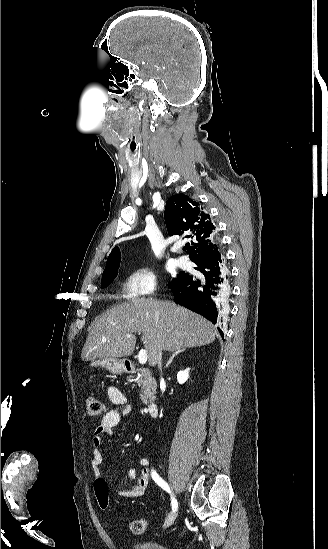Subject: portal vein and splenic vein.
Returning <instances> with one entry per match:
<instances>
[{
    "label": "portal vein and splenic vein",
    "instance_id": "1",
    "mask_svg": "<svg viewBox=\"0 0 328 549\" xmlns=\"http://www.w3.org/2000/svg\"><path fill=\"white\" fill-rule=\"evenodd\" d=\"M126 337H128V339H130L131 335H126ZM138 361H139L140 365H145V363H147V353H146L145 349H141V351H139Z\"/></svg>",
    "mask_w": 328,
    "mask_h": 549
}]
</instances>
